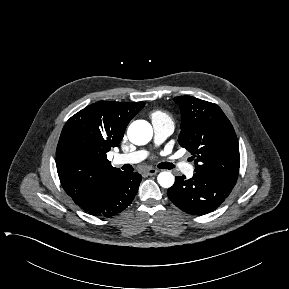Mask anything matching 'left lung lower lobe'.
<instances>
[{
    "mask_svg": "<svg viewBox=\"0 0 289 289\" xmlns=\"http://www.w3.org/2000/svg\"><path fill=\"white\" fill-rule=\"evenodd\" d=\"M234 185L212 176L195 173L191 179L175 177L167 191L169 199L181 210L204 215L217 209L229 196Z\"/></svg>",
    "mask_w": 289,
    "mask_h": 289,
    "instance_id": "0a47b994",
    "label": "left lung lower lobe"
}]
</instances>
